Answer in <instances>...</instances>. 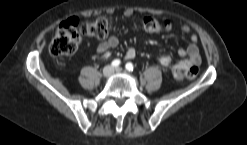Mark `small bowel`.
Returning a JSON list of instances; mask_svg holds the SVG:
<instances>
[{
  "instance_id": "small-bowel-1",
  "label": "small bowel",
  "mask_w": 247,
  "mask_h": 145,
  "mask_svg": "<svg viewBox=\"0 0 247 145\" xmlns=\"http://www.w3.org/2000/svg\"><path fill=\"white\" fill-rule=\"evenodd\" d=\"M182 30L185 33H190V29L187 26H183ZM190 43L187 46V48H180L178 49L177 53L180 57H187L184 60H181L178 62V65L180 68L184 70H189L191 68H197L201 62V57L197 45V36L194 34H190L189 36ZM119 44V39L116 36H110L106 40L100 42L97 46V52L99 54H106L110 49L117 47ZM136 56V50L133 47H130L127 49L125 58L126 59H133ZM168 59L171 63V59L168 56H163L160 58V63L163 66H169L166 65L163 60Z\"/></svg>"
}]
</instances>
